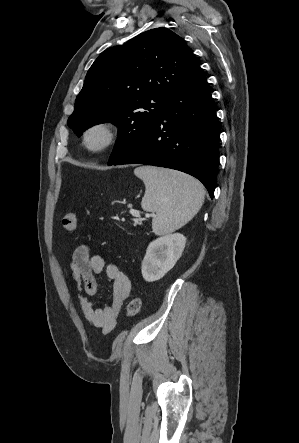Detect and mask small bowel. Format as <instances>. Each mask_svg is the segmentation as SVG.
Here are the masks:
<instances>
[{
  "label": "small bowel",
  "mask_w": 299,
  "mask_h": 443,
  "mask_svg": "<svg viewBox=\"0 0 299 443\" xmlns=\"http://www.w3.org/2000/svg\"><path fill=\"white\" fill-rule=\"evenodd\" d=\"M70 268L72 278L79 292V301L86 320L93 327L100 328L107 335L115 328L119 312L132 289L129 277L114 263L93 253L87 245L75 248ZM105 275L112 284L111 303L105 307H93L90 297L98 290L97 277Z\"/></svg>",
  "instance_id": "1"
}]
</instances>
